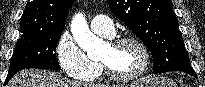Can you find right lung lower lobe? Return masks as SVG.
Here are the masks:
<instances>
[{
	"label": "right lung lower lobe",
	"mask_w": 205,
	"mask_h": 87,
	"mask_svg": "<svg viewBox=\"0 0 205 87\" xmlns=\"http://www.w3.org/2000/svg\"><path fill=\"white\" fill-rule=\"evenodd\" d=\"M16 72H17V71H14V72H12V73H8V76H7L6 80H5V84L12 78V76H13Z\"/></svg>",
	"instance_id": "obj_1"
}]
</instances>
